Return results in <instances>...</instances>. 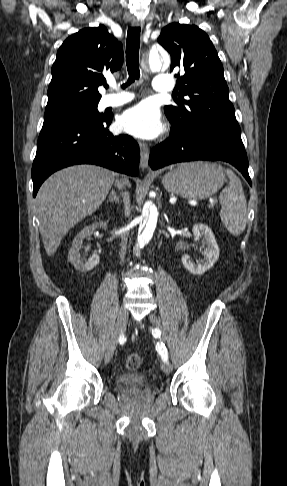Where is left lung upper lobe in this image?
Wrapping results in <instances>:
<instances>
[{
  "mask_svg": "<svg viewBox=\"0 0 287 486\" xmlns=\"http://www.w3.org/2000/svg\"><path fill=\"white\" fill-rule=\"evenodd\" d=\"M158 42L171 55V71H179L175 75L179 100L164 107L168 119L180 127H207L241 136L223 66L208 35L195 25L174 22L161 30Z\"/></svg>",
  "mask_w": 287,
  "mask_h": 486,
  "instance_id": "5c2ea615",
  "label": "left lung upper lobe"
}]
</instances>
